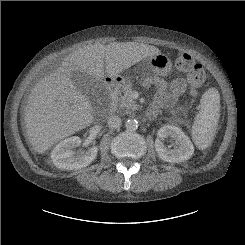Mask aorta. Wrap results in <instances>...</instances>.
Wrapping results in <instances>:
<instances>
[{
    "mask_svg": "<svg viewBox=\"0 0 245 245\" xmlns=\"http://www.w3.org/2000/svg\"><path fill=\"white\" fill-rule=\"evenodd\" d=\"M125 127L128 131H135L138 128V121L136 119H128L125 122Z\"/></svg>",
    "mask_w": 245,
    "mask_h": 245,
    "instance_id": "aorta-1",
    "label": "aorta"
}]
</instances>
